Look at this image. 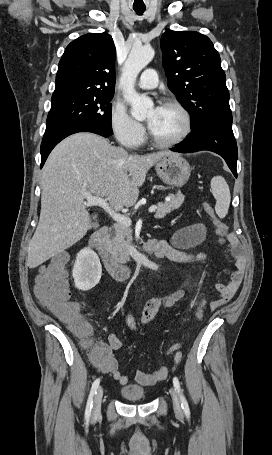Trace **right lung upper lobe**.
<instances>
[{
	"label": "right lung upper lobe",
	"instance_id": "right-lung-upper-lobe-1",
	"mask_svg": "<svg viewBox=\"0 0 272 455\" xmlns=\"http://www.w3.org/2000/svg\"><path fill=\"white\" fill-rule=\"evenodd\" d=\"M115 45L108 33H90L72 41L59 62L52 100L114 95Z\"/></svg>",
	"mask_w": 272,
	"mask_h": 455
}]
</instances>
